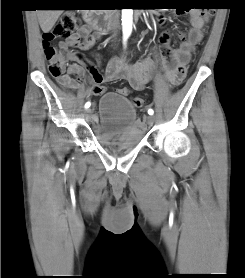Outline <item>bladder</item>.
Returning a JSON list of instances; mask_svg holds the SVG:
<instances>
[{
    "instance_id": "31cf9c89",
    "label": "bladder",
    "mask_w": 245,
    "mask_h": 278,
    "mask_svg": "<svg viewBox=\"0 0 245 278\" xmlns=\"http://www.w3.org/2000/svg\"><path fill=\"white\" fill-rule=\"evenodd\" d=\"M95 136L108 149L127 150L139 146L144 139L135 106L125 96L106 92L100 98Z\"/></svg>"
}]
</instances>
